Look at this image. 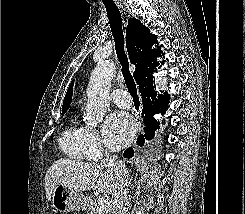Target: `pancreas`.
Returning <instances> with one entry per match:
<instances>
[{"mask_svg": "<svg viewBox=\"0 0 245 214\" xmlns=\"http://www.w3.org/2000/svg\"><path fill=\"white\" fill-rule=\"evenodd\" d=\"M102 198V196H97L93 201L90 202L89 210L90 214H97V207L99 206V201ZM112 207L111 205L106 206L102 209L100 214H111Z\"/></svg>", "mask_w": 245, "mask_h": 214, "instance_id": "pancreas-1", "label": "pancreas"}]
</instances>
